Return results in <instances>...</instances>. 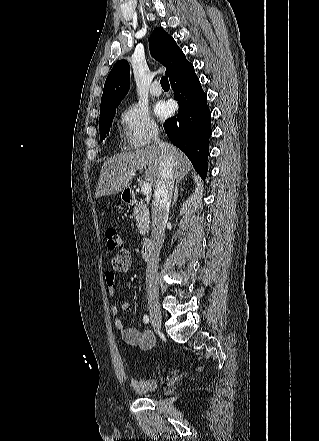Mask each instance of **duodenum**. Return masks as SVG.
<instances>
[{"mask_svg":"<svg viewBox=\"0 0 319 441\" xmlns=\"http://www.w3.org/2000/svg\"><path fill=\"white\" fill-rule=\"evenodd\" d=\"M123 198L128 204H132L136 201L135 193L132 190H125ZM155 253V245L151 240H145L142 243L141 254L145 261H151Z\"/></svg>","mask_w":319,"mask_h":441,"instance_id":"obj_1","label":"duodenum"}]
</instances>
